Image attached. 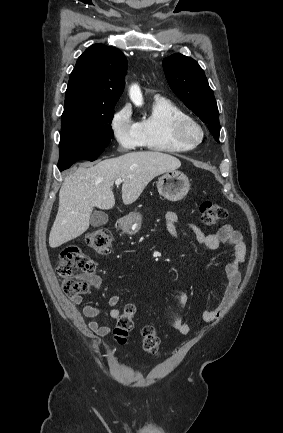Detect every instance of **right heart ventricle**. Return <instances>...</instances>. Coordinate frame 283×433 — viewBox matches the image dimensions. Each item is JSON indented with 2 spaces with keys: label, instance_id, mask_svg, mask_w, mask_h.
I'll return each instance as SVG.
<instances>
[{
  "label": "right heart ventricle",
  "instance_id": "e07e8e85",
  "mask_svg": "<svg viewBox=\"0 0 283 433\" xmlns=\"http://www.w3.org/2000/svg\"><path fill=\"white\" fill-rule=\"evenodd\" d=\"M186 115L187 113L172 101L155 99L150 114L139 122L144 143L154 146L156 151L181 152L172 139L171 131L175 119Z\"/></svg>",
  "mask_w": 283,
  "mask_h": 433
}]
</instances>
